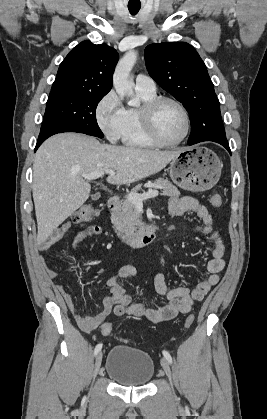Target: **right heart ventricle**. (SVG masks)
Here are the masks:
<instances>
[{"label":"right heart ventricle","instance_id":"e07e8e85","mask_svg":"<svg viewBox=\"0 0 267 419\" xmlns=\"http://www.w3.org/2000/svg\"><path fill=\"white\" fill-rule=\"evenodd\" d=\"M143 104L157 97L156 92L138 91ZM143 106V105H142ZM141 107H129L124 109V123L121 139L129 147L153 148L157 146L147 136L141 119Z\"/></svg>","mask_w":267,"mask_h":419}]
</instances>
